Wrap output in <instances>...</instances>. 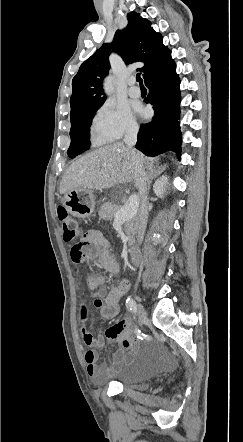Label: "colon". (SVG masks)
I'll return each mask as SVG.
<instances>
[{"label":"colon","instance_id":"colon-1","mask_svg":"<svg viewBox=\"0 0 243 442\" xmlns=\"http://www.w3.org/2000/svg\"><path fill=\"white\" fill-rule=\"evenodd\" d=\"M57 212L62 225L65 241H77L76 244L72 243L69 246V249L71 251V259L80 261L83 258V250L86 247L85 242L82 238L81 227L79 223L68 213L66 208L60 206ZM85 282L87 288L91 290H96L100 285L99 277L94 274H88L86 276Z\"/></svg>","mask_w":243,"mask_h":442}]
</instances>
